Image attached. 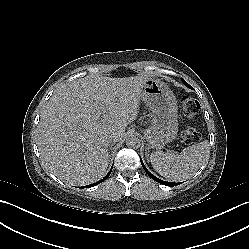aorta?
I'll return each mask as SVG.
<instances>
[{
    "mask_svg": "<svg viewBox=\"0 0 249 249\" xmlns=\"http://www.w3.org/2000/svg\"><path fill=\"white\" fill-rule=\"evenodd\" d=\"M126 145L130 148H136L140 145V140L136 136H129L126 138Z\"/></svg>",
    "mask_w": 249,
    "mask_h": 249,
    "instance_id": "aorta-1",
    "label": "aorta"
}]
</instances>
